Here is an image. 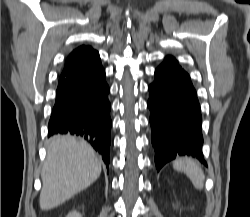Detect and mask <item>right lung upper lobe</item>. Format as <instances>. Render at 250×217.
<instances>
[{
    "mask_svg": "<svg viewBox=\"0 0 250 217\" xmlns=\"http://www.w3.org/2000/svg\"><path fill=\"white\" fill-rule=\"evenodd\" d=\"M97 54L98 52L93 50L90 46H81L75 49L68 56L62 74L79 68Z\"/></svg>",
    "mask_w": 250,
    "mask_h": 217,
    "instance_id": "1",
    "label": "right lung upper lobe"
}]
</instances>
